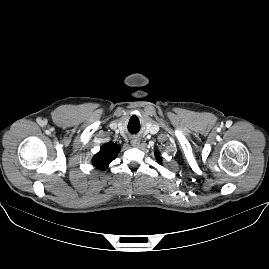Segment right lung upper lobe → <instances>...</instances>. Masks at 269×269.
Here are the masks:
<instances>
[{
	"instance_id": "cb5924a9",
	"label": "right lung upper lobe",
	"mask_w": 269,
	"mask_h": 269,
	"mask_svg": "<svg viewBox=\"0 0 269 269\" xmlns=\"http://www.w3.org/2000/svg\"><path fill=\"white\" fill-rule=\"evenodd\" d=\"M120 146L115 143H107L101 147L100 151L94 156L93 164L97 168L105 169L117 157Z\"/></svg>"
}]
</instances>
